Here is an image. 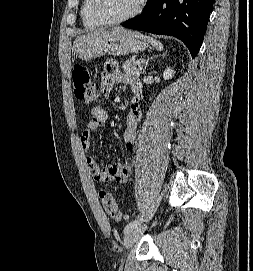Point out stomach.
<instances>
[{
    "mask_svg": "<svg viewBox=\"0 0 253 271\" xmlns=\"http://www.w3.org/2000/svg\"><path fill=\"white\" fill-rule=\"evenodd\" d=\"M147 48L148 41L140 32L123 28L90 33L74 44L76 56L85 61L103 55L139 53Z\"/></svg>",
    "mask_w": 253,
    "mask_h": 271,
    "instance_id": "0dacf381",
    "label": "stomach"
}]
</instances>
